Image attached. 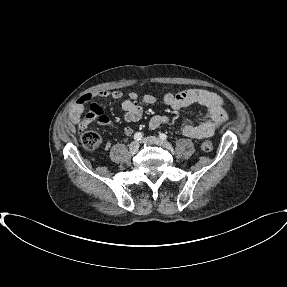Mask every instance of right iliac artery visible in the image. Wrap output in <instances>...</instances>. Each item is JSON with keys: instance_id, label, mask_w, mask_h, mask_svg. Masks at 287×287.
I'll use <instances>...</instances> for the list:
<instances>
[{"instance_id": "right-iliac-artery-1", "label": "right iliac artery", "mask_w": 287, "mask_h": 287, "mask_svg": "<svg viewBox=\"0 0 287 287\" xmlns=\"http://www.w3.org/2000/svg\"><path fill=\"white\" fill-rule=\"evenodd\" d=\"M142 137H143V134H142L141 132H137V133L134 134V139H135L136 141L141 140Z\"/></svg>"}]
</instances>
